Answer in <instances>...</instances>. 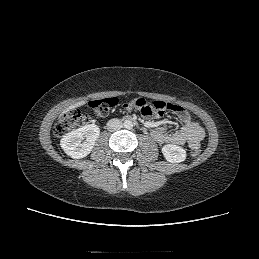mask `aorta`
Wrapping results in <instances>:
<instances>
[{
	"label": "aorta",
	"mask_w": 259,
	"mask_h": 259,
	"mask_svg": "<svg viewBox=\"0 0 259 259\" xmlns=\"http://www.w3.org/2000/svg\"><path fill=\"white\" fill-rule=\"evenodd\" d=\"M124 127L127 128V129H131L133 127V124L131 121H125L124 122Z\"/></svg>",
	"instance_id": "762f6f07"
}]
</instances>
